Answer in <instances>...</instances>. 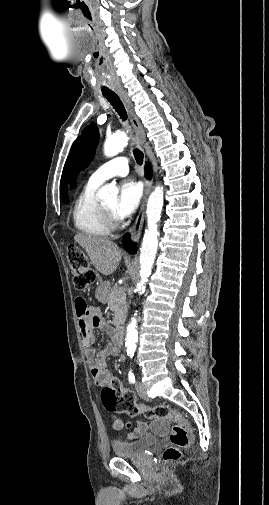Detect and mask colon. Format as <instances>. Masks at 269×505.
<instances>
[{"label": "colon", "mask_w": 269, "mask_h": 505, "mask_svg": "<svg viewBox=\"0 0 269 505\" xmlns=\"http://www.w3.org/2000/svg\"><path fill=\"white\" fill-rule=\"evenodd\" d=\"M67 261L73 273L74 285L78 290H87L95 281V273L90 268L87 256L76 246L67 250ZM82 307H89L82 305ZM104 408L112 413H126L130 416L142 415L147 418H171L176 422L170 433L171 446L165 449V461H175L180 458L181 450L191 443L188 421L179 413L171 411L166 405L146 406L136 403L135 394L124 390L116 377H111L101 392Z\"/></svg>", "instance_id": "5ec220e1"}]
</instances>
